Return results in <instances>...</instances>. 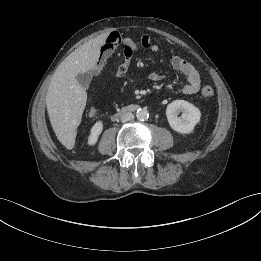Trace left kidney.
<instances>
[{
  "label": "left kidney",
  "instance_id": "left-kidney-1",
  "mask_svg": "<svg viewBox=\"0 0 261 261\" xmlns=\"http://www.w3.org/2000/svg\"><path fill=\"white\" fill-rule=\"evenodd\" d=\"M180 112H182V115L178 117ZM166 116L173 130L181 134H189L200 121L201 112L197 107L185 100H174L168 104Z\"/></svg>",
  "mask_w": 261,
  "mask_h": 261
}]
</instances>
